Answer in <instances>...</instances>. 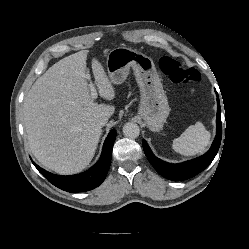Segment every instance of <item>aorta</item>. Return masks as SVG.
Masks as SVG:
<instances>
[{
  "mask_svg": "<svg viewBox=\"0 0 249 249\" xmlns=\"http://www.w3.org/2000/svg\"><path fill=\"white\" fill-rule=\"evenodd\" d=\"M123 134L127 138L135 139L140 134V128L136 123L128 122L123 126Z\"/></svg>",
  "mask_w": 249,
  "mask_h": 249,
  "instance_id": "aorta-1",
  "label": "aorta"
}]
</instances>
